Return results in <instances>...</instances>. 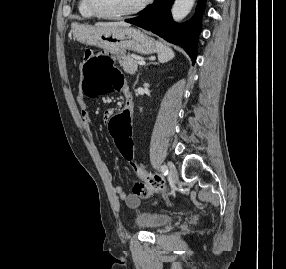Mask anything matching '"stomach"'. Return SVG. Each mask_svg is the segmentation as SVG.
Listing matches in <instances>:
<instances>
[{
    "label": "stomach",
    "instance_id": "obj_1",
    "mask_svg": "<svg viewBox=\"0 0 286 269\" xmlns=\"http://www.w3.org/2000/svg\"><path fill=\"white\" fill-rule=\"evenodd\" d=\"M74 39L101 49H129L148 55L157 51L153 38L133 27H102L79 23L71 25Z\"/></svg>",
    "mask_w": 286,
    "mask_h": 269
}]
</instances>
